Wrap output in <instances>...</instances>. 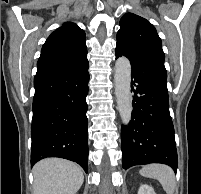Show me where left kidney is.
I'll return each mask as SVG.
<instances>
[{"mask_svg": "<svg viewBox=\"0 0 201 194\" xmlns=\"http://www.w3.org/2000/svg\"><path fill=\"white\" fill-rule=\"evenodd\" d=\"M138 194H156L152 187L149 185L143 184L138 190Z\"/></svg>", "mask_w": 201, "mask_h": 194, "instance_id": "1", "label": "left kidney"}]
</instances>
